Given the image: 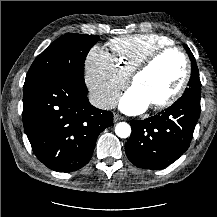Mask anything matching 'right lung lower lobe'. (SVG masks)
I'll return each mask as SVG.
<instances>
[{
	"label": "right lung lower lobe",
	"mask_w": 217,
	"mask_h": 217,
	"mask_svg": "<svg viewBox=\"0 0 217 217\" xmlns=\"http://www.w3.org/2000/svg\"><path fill=\"white\" fill-rule=\"evenodd\" d=\"M85 84L55 73L24 84L23 125L37 158L57 172L85 166L113 114L89 103Z\"/></svg>",
	"instance_id": "obj_1"
}]
</instances>
